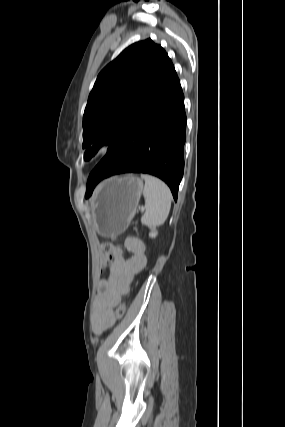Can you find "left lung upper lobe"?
<instances>
[{"label":"left lung upper lobe","instance_id":"left-lung-upper-lobe-1","mask_svg":"<svg viewBox=\"0 0 285 427\" xmlns=\"http://www.w3.org/2000/svg\"><path fill=\"white\" fill-rule=\"evenodd\" d=\"M171 64L165 50L147 39L127 47L100 72L83 116L85 160L116 146Z\"/></svg>","mask_w":285,"mask_h":427}]
</instances>
